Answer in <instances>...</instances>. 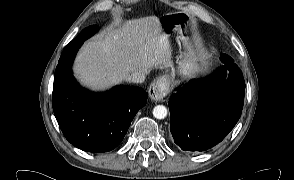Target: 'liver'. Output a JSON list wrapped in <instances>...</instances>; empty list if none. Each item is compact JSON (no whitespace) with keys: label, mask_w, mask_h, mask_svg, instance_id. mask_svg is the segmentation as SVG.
<instances>
[{"label":"liver","mask_w":294,"mask_h":180,"mask_svg":"<svg viewBox=\"0 0 294 180\" xmlns=\"http://www.w3.org/2000/svg\"><path fill=\"white\" fill-rule=\"evenodd\" d=\"M169 35L159 18L148 16L110 27L103 35L86 42L74 66L79 81L93 90H102L127 80L136 71L172 66Z\"/></svg>","instance_id":"liver-1"}]
</instances>
